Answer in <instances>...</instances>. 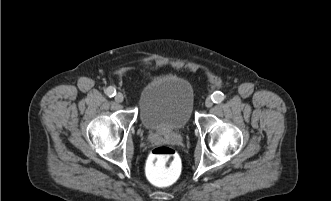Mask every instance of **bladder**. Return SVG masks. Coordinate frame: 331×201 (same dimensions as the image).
Wrapping results in <instances>:
<instances>
[{"mask_svg": "<svg viewBox=\"0 0 331 201\" xmlns=\"http://www.w3.org/2000/svg\"><path fill=\"white\" fill-rule=\"evenodd\" d=\"M194 92L188 81L164 75L148 82L138 95L142 126L157 132L179 131L191 120Z\"/></svg>", "mask_w": 331, "mask_h": 201, "instance_id": "bladder-1", "label": "bladder"}]
</instances>
